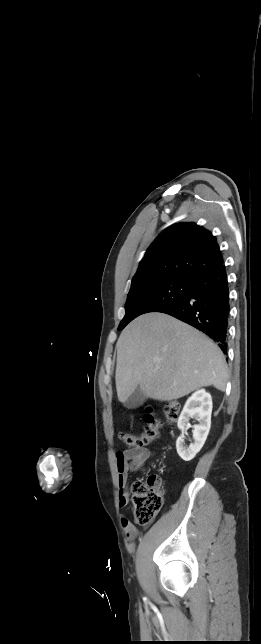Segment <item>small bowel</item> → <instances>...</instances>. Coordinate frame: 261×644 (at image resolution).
Here are the masks:
<instances>
[{
	"instance_id": "1",
	"label": "small bowel",
	"mask_w": 261,
	"mask_h": 644,
	"mask_svg": "<svg viewBox=\"0 0 261 644\" xmlns=\"http://www.w3.org/2000/svg\"><path fill=\"white\" fill-rule=\"evenodd\" d=\"M153 453L147 449H127L119 452L116 455V468L118 473V487H119V505L126 507L129 503V495L127 492L128 478L131 473L138 472L144 464L152 457ZM121 525L126 537L129 540H135L139 531L134 525L125 517L121 519Z\"/></svg>"
}]
</instances>
